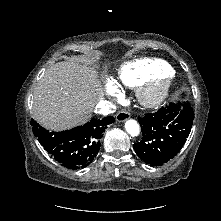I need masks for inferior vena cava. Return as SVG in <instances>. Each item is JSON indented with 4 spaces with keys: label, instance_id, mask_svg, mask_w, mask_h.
I'll return each mask as SVG.
<instances>
[{
    "label": "inferior vena cava",
    "instance_id": "obj_1",
    "mask_svg": "<svg viewBox=\"0 0 221 221\" xmlns=\"http://www.w3.org/2000/svg\"><path fill=\"white\" fill-rule=\"evenodd\" d=\"M96 112L102 115H108L111 111V105L108 101L101 100L96 105Z\"/></svg>",
    "mask_w": 221,
    "mask_h": 221
}]
</instances>
